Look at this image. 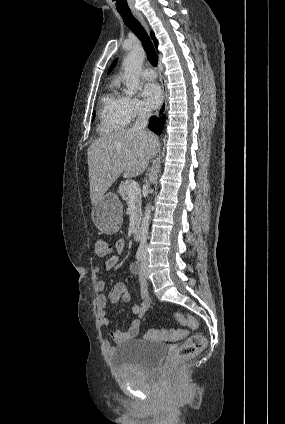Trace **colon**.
I'll return each mask as SVG.
<instances>
[{"label":"colon","instance_id":"obj_1","mask_svg":"<svg viewBox=\"0 0 285 424\" xmlns=\"http://www.w3.org/2000/svg\"><path fill=\"white\" fill-rule=\"evenodd\" d=\"M93 251L99 258H106L112 253V246L103 240H95ZM175 320L184 326L196 328L198 323L195 318L182 312L174 313ZM184 332L181 330L154 329L149 330L145 337L151 340H176L181 338ZM205 338L199 333L189 336L182 344L177 345L171 354V360L177 361L192 357L200 352L205 346Z\"/></svg>","mask_w":285,"mask_h":424}]
</instances>
